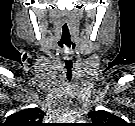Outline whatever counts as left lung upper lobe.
Returning a JSON list of instances; mask_svg holds the SVG:
<instances>
[{
    "label": "left lung upper lobe",
    "mask_w": 135,
    "mask_h": 126,
    "mask_svg": "<svg viewBox=\"0 0 135 126\" xmlns=\"http://www.w3.org/2000/svg\"><path fill=\"white\" fill-rule=\"evenodd\" d=\"M94 126H115L121 122L117 116L103 110L88 113Z\"/></svg>",
    "instance_id": "left-lung-upper-lobe-1"
}]
</instances>
